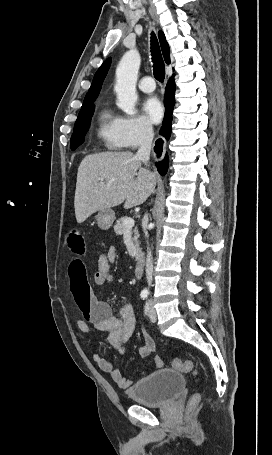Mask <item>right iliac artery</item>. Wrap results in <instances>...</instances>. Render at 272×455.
<instances>
[{
	"label": "right iliac artery",
	"instance_id": "right-iliac-artery-1",
	"mask_svg": "<svg viewBox=\"0 0 272 455\" xmlns=\"http://www.w3.org/2000/svg\"><path fill=\"white\" fill-rule=\"evenodd\" d=\"M148 293L147 292H142L140 294L141 298L144 300L147 297Z\"/></svg>",
	"mask_w": 272,
	"mask_h": 455
}]
</instances>
